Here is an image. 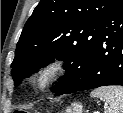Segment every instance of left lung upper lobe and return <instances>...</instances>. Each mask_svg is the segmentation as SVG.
Returning a JSON list of instances; mask_svg holds the SVG:
<instances>
[{"label": "left lung upper lobe", "instance_id": "5c2ea615", "mask_svg": "<svg viewBox=\"0 0 123 113\" xmlns=\"http://www.w3.org/2000/svg\"><path fill=\"white\" fill-rule=\"evenodd\" d=\"M114 0H41L17 43L11 74L15 85L55 58L65 77L52 87L60 95L80 84L96 46L102 19Z\"/></svg>", "mask_w": 123, "mask_h": 113}]
</instances>
